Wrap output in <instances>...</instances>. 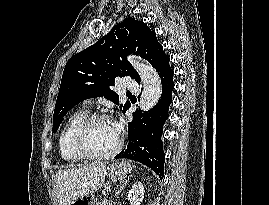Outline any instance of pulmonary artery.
Masks as SVG:
<instances>
[{"label":"pulmonary artery","instance_id":"1","mask_svg":"<svg viewBox=\"0 0 269 205\" xmlns=\"http://www.w3.org/2000/svg\"><path fill=\"white\" fill-rule=\"evenodd\" d=\"M124 87L131 91H137L138 84L134 79L127 77V78H124ZM89 103H90L89 101L84 102L86 106H89Z\"/></svg>","mask_w":269,"mask_h":205}]
</instances>
